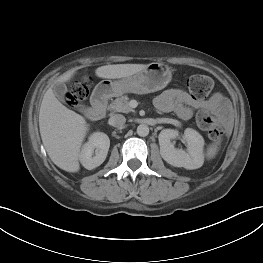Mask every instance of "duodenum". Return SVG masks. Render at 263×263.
Returning a JSON list of instances; mask_svg holds the SVG:
<instances>
[{
    "label": "duodenum",
    "mask_w": 263,
    "mask_h": 263,
    "mask_svg": "<svg viewBox=\"0 0 263 263\" xmlns=\"http://www.w3.org/2000/svg\"><path fill=\"white\" fill-rule=\"evenodd\" d=\"M109 97V89L102 86L96 89L92 96V104L87 112V116L91 120L102 119L107 111V102Z\"/></svg>",
    "instance_id": "1"
}]
</instances>
